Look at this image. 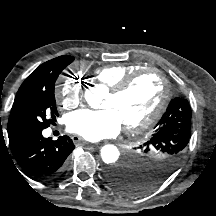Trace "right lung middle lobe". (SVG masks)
Segmentation results:
<instances>
[{
	"label": "right lung middle lobe",
	"mask_w": 216,
	"mask_h": 216,
	"mask_svg": "<svg viewBox=\"0 0 216 216\" xmlns=\"http://www.w3.org/2000/svg\"><path fill=\"white\" fill-rule=\"evenodd\" d=\"M73 58L57 62L54 70L45 80L29 87L21 100L11 110L8 122V136L26 130H43L49 127L52 118L58 115L54 96L55 82L58 75L65 69Z\"/></svg>",
	"instance_id": "1"
}]
</instances>
